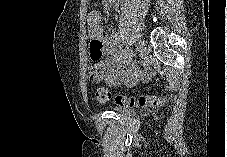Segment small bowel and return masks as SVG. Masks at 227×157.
<instances>
[{"mask_svg": "<svg viewBox=\"0 0 227 157\" xmlns=\"http://www.w3.org/2000/svg\"><path fill=\"white\" fill-rule=\"evenodd\" d=\"M114 8H118L119 0H107ZM88 33L91 39L89 58L99 62L100 58L103 73L92 77L95 81H104L110 86H119L123 83H133L138 77L148 76V71L139 72L132 54L127 49H121L115 36L106 37L102 27L101 13L93 10L88 14Z\"/></svg>", "mask_w": 227, "mask_h": 157, "instance_id": "1", "label": "small bowel"}]
</instances>
